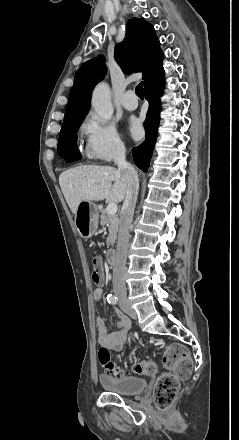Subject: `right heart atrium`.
Here are the masks:
<instances>
[{
    "mask_svg": "<svg viewBox=\"0 0 239 440\" xmlns=\"http://www.w3.org/2000/svg\"><path fill=\"white\" fill-rule=\"evenodd\" d=\"M85 136L84 155L92 161L111 162L124 152L123 143L114 126L89 113L82 124Z\"/></svg>",
    "mask_w": 239,
    "mask_h": 440,
    "instance_id": "d8ad5b80",
    "label": "right heart atrium"
}]
</instances>
